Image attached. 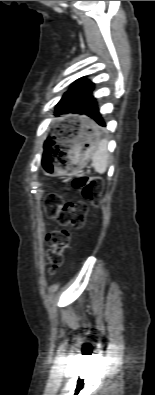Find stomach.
<instances>
[{
  "label": "stomach",
  "instance_id": "stomach-1",
  "mask_svg": "<svg viewBox=\"0 0 155 395\" xmlns=\"http://www.w3.org/2000/svg\"><path fill=\"white\" fill-rule=\"evenodd\" d=\"M99 131L94 124L81 123L77 134L69 135L64 141L65 156L51 166L56 174H73L83 168L98 149Z\"/></svg>",
  "mask_w": 155,
  "mask_h": 395
}]
</instances>
